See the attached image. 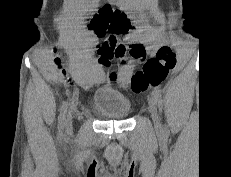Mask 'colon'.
Instances as JSON below:
<instances>
[{
  "label": "colon",
  "instance_id": "obj_1",
  "mask_svg": "<svg viewBox=\"0 0 231 177\" xmlns=\"http://www.w3.org/2000/svg\"><path fill=\"white\" fill-rule=\"evenodd\" d=\"M130 21L126 14L110 5H104L93 17L90 28L97 36L103 37L108 34V39L97 49L100 63L107 65L113 57H123L126 47L117 43V37L130 29ZM132 57L145 60L142 69L136 71L130 81L131 90L140 92L149 86H159L167 77L168 72L176 64L174 52L167 46L158 49L156 55L146 59V50L142 45H135L131 48ZM61 58H56L60 64Z\"/></svg>",
  "mask_w": 231,
  "mask_h": 177
}]
</instances>
